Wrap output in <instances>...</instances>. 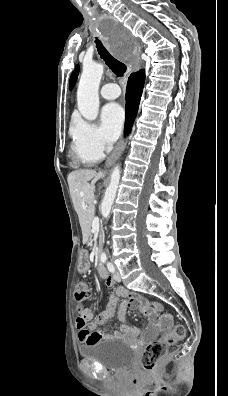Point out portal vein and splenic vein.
<instances>
[{
  "label": "portal vein and splenic vein",
  "mask_w": 228,
  "mask_h": 396,
  "mask_svg": "<svg viewBox=\"0 0 228 396\" xmlns=\"http://www.w3.org/2000/svg\"><path fill=\"white\" fill-rule=\"evenodd\" d=\"M98 226H99V218L95 217L92 222V227H98Z\"/></svg>",
  "instance_id": "obj_1"
}]
</instances>
